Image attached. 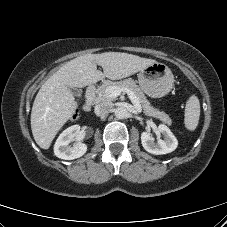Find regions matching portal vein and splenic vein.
<instances>
[{"label": "portal vein and splenic vein", "mask_w": 227, "mask_h": 227, "mask_svg": "<svg viewBox=\"0 0 227 227\" xmlns=\"http://www.w3.org/2000/svg\"><path fill=\"white\" fill-rule=\"evenodd\" d=\"M122 92L127 93V95L129 96L130 100L132 101L135 109L138 112L142 111V107L136 97V95L134 94V92L128 88H117V87H110L106 90L107 95L110 98H116L118 97Z\"/></svg>", "instance_id": "18ae733b"}]
</instances>
